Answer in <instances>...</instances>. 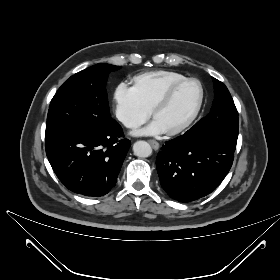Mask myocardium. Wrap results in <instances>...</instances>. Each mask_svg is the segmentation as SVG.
I'll return each instance as SVG.
<instances>
[{
    "mask_svg": "<svg viewBox=\"0 0 280 280\" xmlns=\"http://www.w3.org/2000/svg\"><path fill=\"white\" fill-rule=\"evenodd\" d=\"M186 83H196L198 85V87H199V98H198V101L196 103V106H195L193 112L189 116V118L185 122H183L181 125H179L178 127L174 128V129H171V130L164 131V133L166 135L174 136V135L180 134L183 131H185L196 120V118L198 117V115L200 113V110L202 108L203 101H204V88H203V85H202V83L198 79L190 77V78H185V79H182L180 81H177V82L171 84L163 92V94L158 98V100L154 103V105L151 108V116H152V118L154 119L156 112L160 108L165 106L170 101V99L173 96V94L176 91V89L179 88L180 86L186 84Z\"/></svg>",
    "mask_w": 280,
    "mask_h": 280,
    "instance_id": "obj_1",
    "label": "myocardium"
}]
</instances>
